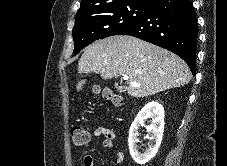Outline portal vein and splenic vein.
Instances as JSON below:
<instances>
[{"label": "portal vein and splenic vein", "mask_w": 227, "mask_h": 166, "mask_svg": "<svg viewBox=\"0 0 227 166\" xmlns=\"http://www.w3.org/2000/svg\"><path fill=\"white\" fill-rule=\"evenodd\" d=\"M123 79H124V80H128V76H124ZM130 84H131L132 86H139V84H137V83H135V82H130Z\"/></svg>", "instance_id": "portal-vein-and-splenic-vein-1"}]
</instances>
